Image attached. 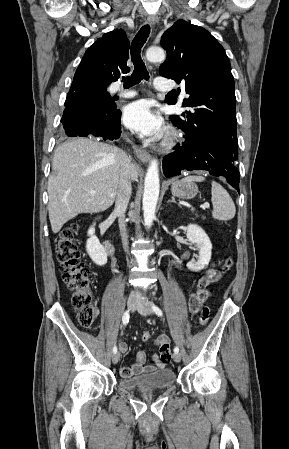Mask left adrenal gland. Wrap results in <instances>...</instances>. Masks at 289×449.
Returning <instances> with one entry per match:
<instances>
[{"label":"left adrenal gland","mask_w":289,"mask_h":449,"mask_svg":"<svg viewBox=\"0 0 289 449\" xmlns=\"http://www.w3.org/2000/svg\"><path fill=\"white\" fill-rule=\"evenodd\" d=\"M168 202H169V203L173 202V203L177 204V202L175 201V197H172V199L169 200Z\"/></svg>","instance_id":"left-adrenal-gland-1"}]
</instances>
